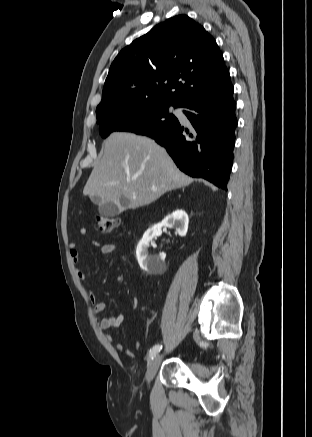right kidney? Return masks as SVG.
I'll return each instance as SVG.
<instances>
[{"instance_id": "ca27d5eb", "label": "right kidney", "mask_w": 312, "mask_h": 437, "mask_svg": "<svg viewBox=\"0 0 312 437\" xmlns=\"http://www.w3.org/2000/svg\"><path fill=\"white\" fill-rule=\"evenodd\" d=\"M189 218L185 211L177 210L166 216L161 223L150 227L140 240L137 249L136 257L140 267L145 271L158 272L164 267V258L159 256H151L148 253V247L155 236L161 234V228L175 227L176 232L184 237L187 234Z\"/></svg>"}]
</instances>
